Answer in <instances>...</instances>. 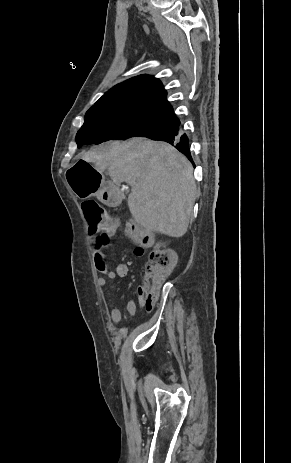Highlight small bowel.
<instances>
[{"instance_id":"c3829d8e","label":"small bowel","mask_w":291,"mask_h":463,"mask_svg":"<svg viewBox=\"0 0 291 463\" xmlns=\"http://www.w3.org/2000/svg\"><path fill=\"white\" fill-rule=\"evenodd\" d=\"M90 244L93 252V259L97 271L101 276L97 279V284L100 287H108L110 285V280L117 278H124L128 273V266L125 263H118L110 268L107 262L104 259L103 249L109 245V233L103 231L100 233H91L90 234ZM134 254L137 256H142L144 254V249L136 245L134 247ZM146 298L142 288H139L137 291V296L135 299H132L128 302L126 307V312L130 317H134L136 311L139 308L145 307ZM123 312L117 306H113L111 309V320L114 324H119L122 318Z\"/></svg>"}]
</instances>
